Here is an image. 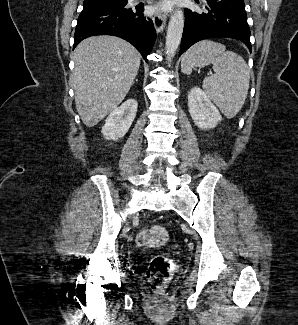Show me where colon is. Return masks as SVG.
Listing matches in <instances>:
<instances>
[{"label":"colon","mask_w":298,"mask_h":325,"mask_svg":"<svg viewBox=\"0 0 298 325\" xmlns=\"http://www.w3.org/2000/svg\"><path fill=\"white\" fill-rule=\"evenodd\" d=\"M168 241V233L162 226H154L138 233L136 242L140 246L160 247ZM173 275V262L168 254L156 256L147 270V278L151 288L163 294Z\"/></svg>","instance_id":"5ec220e1"}]
</instances>
